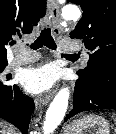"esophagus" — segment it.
I'll list each match as a JSON object with an SVG mask.
<instances>
[{"label":"esophagus","instance_id":"1","mask_svg":"<svg viewBox=\"0 0 116 134\" xmlns=\"http://www.w3.org/2000/svg\"><path fill=\"white\" fill-rule=\"evenodd\" d=\"M47 6L50 13V18L53 25V31L56 35H59L61 33V27H60V12L59 7L55 0H48ZM53 93H48L45 96H43L39 101H36V107L39 109L42 106L48 104V102L52 99Z\"/></svg>","mask_w":116,"mask_h":134}]
</instances>
